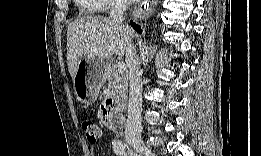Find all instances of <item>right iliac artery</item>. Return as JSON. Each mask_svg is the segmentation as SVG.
<instances>
[{
	"instance_id": "82829eb1",
	"label": "right iliac artery",
	"mask_w": 261,
	"mask_h": 156,
	"mask_svg": "<svg viewBox=\"0 0 261 156\" xmlns=\"http://www.w3.org/2000/svg\"><path fill=\"white\" fill-rule=\"evenodd\" d=\"M114 152L117 155H133V152L128 148V146L120 140L114 141L113 143Z\"/></svg>"
}]
</instances>
